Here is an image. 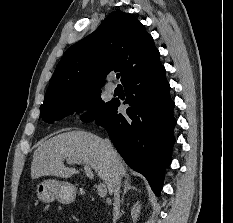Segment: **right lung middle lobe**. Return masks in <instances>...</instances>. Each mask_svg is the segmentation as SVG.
I'll return each instance as SVG.
<instances>
[{
    "mask_svg": "<svg viewBox=\"0 0 233 223\" xmlns=\"http://www.w3.org/2000/svg\"><path fill=\"white\" fill-rule=\"evenodd\" d=\"M100 96L101 88L87 90L68 96L55 103L42 105L40 112L45 122L53 123L76 111L81 112L84 108H89V113L81 116V119L87 123L94 120L111 103V101L105 103Z\"/></svg>",
    "mask_w": 233,
    "mask_h": 223,
    "instance_id": "right-lung-middle-lobe-1",
    "label": "right lung middle lobe"
}]
</instances>
